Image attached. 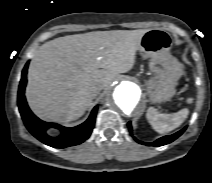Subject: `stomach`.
Returning a JSON list of instances; mask_svg holds the SVG:
<instances>
[{
    "label": "stomach",
    "mask_w": 212,
    "mask_h": 183,
    "mask_svg": "<svg viewBox=\"0 0 212 183\" xmlns=\"http://www.w3.org/2000/svg\"><path fill=\"white\" fill-rule=\"evenodd\" d=\"M171 35L164 29H149L141 38L138 48L144 59H150L149 67L154 76L147 83L150 101L160 103L175 93V85L183 74L181 63L170 54Z\"/></svg>",
    "instance_id": "1"
}]
</instances>
